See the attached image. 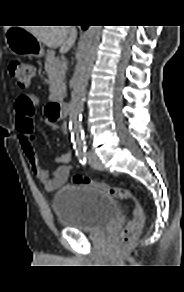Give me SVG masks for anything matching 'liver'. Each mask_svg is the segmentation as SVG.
<instances>
[{"label":"liver","instance_id":"obj_1","mask_svg":"<svg viewBox=\"0 0 184 292\" xmlns=\"http://www.w3.org/2000/svg\"><path fill=\"white\" fill-rule=\"evenodd\" d=\"M26 30L47 47H60L61 53L68 52L77 38L75 26H31Z\"/></svg>","mask_w":184,"mask_h":292}]
</instances>
